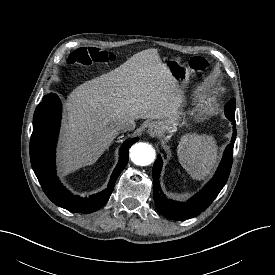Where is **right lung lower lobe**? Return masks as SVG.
<instances>
[{
	"mask_svg": "<svg viewBox=\"0 0 275 275\" xmlns=\"http://www.w3.org/2000/svg\"><path fill=\"white\" fill-rule=\"evenodd\" d=\"M61 119V103L55 94L45 95L33 116L30 140L32 168L47 197L56 205L76 213H91L100 209L110 198L116 179L128 163L129 148L138 138L125 142L119 162L108 186L102 192L82 198L70 193L59 181L55 171V147Z\"/></svg>",
	"mask_w": 275,
	"mask_h": 275,
	"instance_id": "obj_1",
	"label": "right lung lower lobe"
}]
</instances>
